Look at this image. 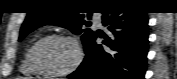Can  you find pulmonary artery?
I'll return each mask as SVG.
<instances>
[{
  "mask_svg": "<svg viewBox=\"0 0 177 79\" xmlns=\"http://www.w3.org/2000/svg\"><path fill=\"white\" fill-rule=\"evenodd\" d=\"M94 20H95V23H96L98 26H101V25H102L100 16H95V17H94Z\"/></svg>",
  "mask_w": 177,
  "mask_h": 79,
  "instance_id": "pulmonary-artery-1",
  "label": "pulmonary artery"
}]
</instances>
